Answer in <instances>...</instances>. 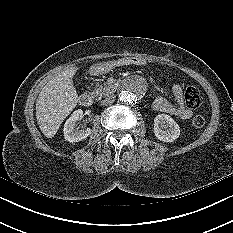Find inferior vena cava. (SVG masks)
Here are the masks:
<instances>
[{
    "mask_svg": "<svg viewBox=\"0 0 233 233\" xmlns=\"http://www.w3.org/2000/svg\"><path fill=\"white\" fill-rule=\"evenodd\" d=\"M114 101H115V95H110L101 101V105L108 106V105L112 104Z\"/></svg>",
    "mask_w": 233,
    "mask_h": 233,
    "instance_id": "inferior-vena-cava-1",
    "label": "inferior vena cava"
}]
</instances>
